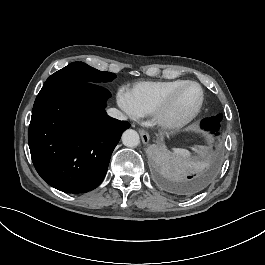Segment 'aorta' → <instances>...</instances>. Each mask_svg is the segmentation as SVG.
<instances>
[{
  "instance_id": "obj_1",
  "label": "aorta",
  "mask_w": 265,
  "mask_h": 265,
  "mask_svg": "<svg viewBox=\"0 0 265 265\" xmlns=\"http://www.w3.org/2000/svg\"><path fill=\"white\" fill-rule=\"evenodd\" d=\"M123 144L127 147L134 148L140 143V137L134 130L128 129L122 135Z\"/></svg>"
}]
</instances>
